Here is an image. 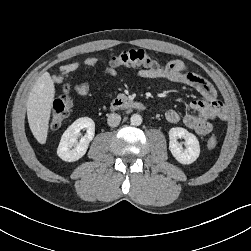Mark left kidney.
Returning a JSON list of instances; mask_svg holds the SVG:
<instances>
[{
  "mask_svg": "<svg viewBox=\"0 0 251 251\" xmlns=\"http://www.w3.org/2000/svg\"><path fill=\"white\" fill-rule=\"evenodd\" d=\"M178 138L185 140V149L177 141ZM169 150L173 157L181 164L188 165L196 161L200 154V145L197 137L181 127L169 130Z\"/></svg>",
  "mask_w": 251,
  "mask_h": 251,
  "instance_id": "1",
  "label": "left kidney"
}]
</instances>
